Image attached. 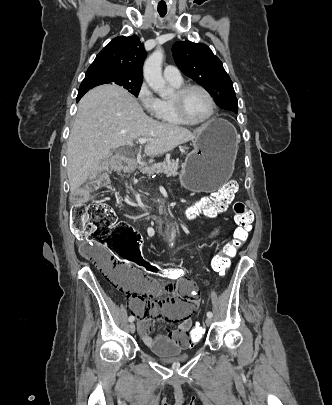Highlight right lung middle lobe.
Listing matches in <instances>:
<instances>
[{
	"label": "right lung middle lobe",
	"mask_w": 332,
	"mask_h": 405,
	"mask_svg": "<svg viewBox=\"0 0 332 405\" xmlns=\"http://www.w3.org/2000/svg\"><path fill=\"white\" fill-rule=\"evenodd\" d=\"M102 84H117L137 97L142 84V79L131 77L120 72L107 70L90 72L86 73L78 93H86L89 89Z\"/></svg>",
	"instance_id": "obj_1"
}]
</instances>
